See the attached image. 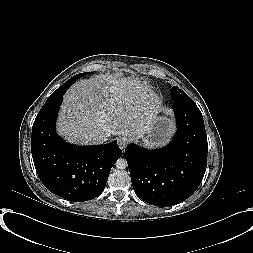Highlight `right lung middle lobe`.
Masks as SVG:
<instances>
[{"label":"right lung middle lobe","mask_w":253,"mask_h":253,"mask_svg":"<svg viewBox=\"0 0 253 253\" xmlns=\"http://www.w3.org/2000/svg\"><path fill=\"white\" fill-rule=\"evenodd\" d=\"M87 74H89V72L77 74V75L73 76L72 78H70L67 82H65L61 87H65L66 85H72V84H73L76 80H78L80 77L85 76V75H87ZM61 87H59V88H61ZM59 88H58V89H59ZM58 89H57L56 91H54V92L49 96V98L47 99V101H50V100H53V99L56 98V96L58 95V93H57Z\"/></svg>","instance_id":"obj_1"}]
</instances>
